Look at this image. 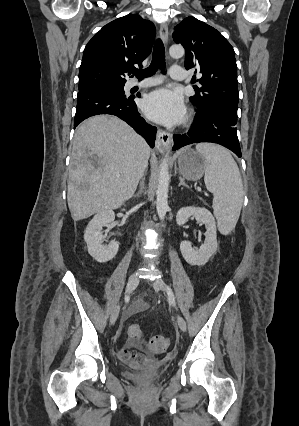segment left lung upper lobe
I'll list each match as a JSON object with an SVG mask.
<instances>
[{
  "label": "left lung upper lobe",
  "instance_id": "5c2ea615",
  "mask_svg": "<svg viewBox=\"0 0 299 426\" xmlns=\"http://www.w3.org/2000/svg\"><path fill=\"white\" fill-rule=\"evenodd\" d=\"M173 39L185 48V68L201 75L202 87L190 97L198 111L221 108L237 116V65L230 43L219 31L194 17L185 18L175 27Z\"/></svg>",
  "mask_w": 299,
  "mask_h": 426
}]
</instances>
